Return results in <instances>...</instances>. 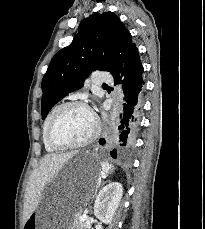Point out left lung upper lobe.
Segmentation results:
<instances>
[{"mask_svg":"<svg viewBox=\"0 0 205 229\" xmlns=\"http://www.w3.org/2000/svg\"><path fill=\"white\" fill-rule=\"evenodd\" d=\"M131 44V34L114 13H94L82 20L72 43L54 55L43 77L42 119L63 97L81 88L93 70L112 74Z\"/></svg>","mask_w":205,"mask_h":229,"instance_id":"obj_1","label":"left lung upper lobe"}]
</instances>
